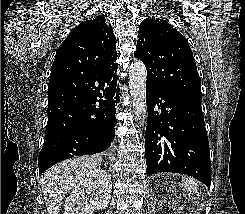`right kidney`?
Instances as JSON below:
<instances>
[{"mask_svg":"<svg viewBox=\"0 0 245 214\" xmlns=\"http://www.w3.org/2000/svg\"><path fill=\"white\" fill-rule=\"evenodd\" d=\"M112 181L107 171L96 169L87 174L65 200V214H93L108 206L111 198ZM90 194V199L85 194Z\"/></svg>","mask_w":245,"mask_h":214,"instance_id":"1","label":"right kidney"}]
</instances>
